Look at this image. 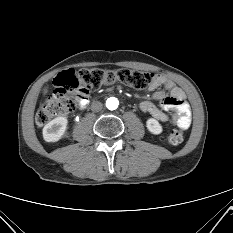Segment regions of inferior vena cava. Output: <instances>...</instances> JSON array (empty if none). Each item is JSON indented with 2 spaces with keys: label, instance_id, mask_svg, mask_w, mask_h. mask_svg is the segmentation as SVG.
Here are the masks:
<instances>
[{
  "label": "inferior vena cava",
  "instance_id": "inferior-vena-cava-1",
  "mask_svg": "<svg viewBox=\"0 0 233 233\" xmlns=\"http://www.w3.org/2000/svg\"><path fill=\"white\" fill-rule=\"evenodd\" d=\"M102 108H103V105L99 101H93L92 104H91V110L93 112H99V111L102 110Z\"/></svg>",
  "mask_w": 233,
  "mask_h": 233
}]
</instances>
